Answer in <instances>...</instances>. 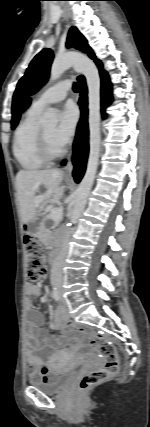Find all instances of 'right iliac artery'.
<instances>
[{"label":"right iliac artery","instance_id":"82829eb1","mask_svg":"<svg viewBox=\"0 0 150 427\" xmlns=\"http://www.w3.org/2000/svg\"><path fill=\"white\" fill-rule=\"evenodd\" d=\"M52 295H53V298H54L56 301H59V300H60V295H59V293H58L57 288H54V289H53Z\"/></svg>","mask_w":150,"mask_h":427}]
</instances>
